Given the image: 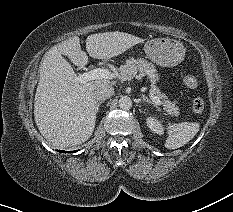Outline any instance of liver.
Listing matches in <instances>:
<instances>
[{
    "label": "liver",
    "instance_id": "liver-1",
    "mask_svg": "<svg viewBox=\"0 0 233 212\" xmlns=\"http://www.w3.org/2000/svg\"><path fill=\"white\" fill-rule=\"evenodd\" d=\"M144 40L124 32H105L89 35L86 50L92 58L110 59ZM62 55L77 66L88 63L78 36L52 47L40 65V78L34 100L35 123L54 147L77 146L93 133L97 114V101L93 88L110 84L109 79H96L78 83L77 75Z\"/></svg>",
    "mask_w": 233,
    "mask_h": 212
}]
</instances>
